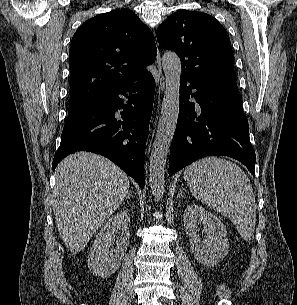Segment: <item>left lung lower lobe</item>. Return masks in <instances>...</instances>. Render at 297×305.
Wrapping results in <instances>:
<instances>
[{
    "label": "left lung lower lobe",
    "mask_w": 297,
    "mask_h": 305,
    "mask_svg": "<svg viewBox=\"0 0 297 305\" xmlns=\"http://www.w3.org/2000/svg\"><path fill=\"white\" fill-rule=\"evenodd\" d=\"M192 97L197 104L189 101ZM210 155L232 157L242 162L255 177L256 155L235 79L197 82L182 75L169 175Z\"/></svg>",
    "instance_id": "obj_1"
}]
</instances>
